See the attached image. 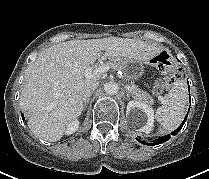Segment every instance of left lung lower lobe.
Returning <instances> with one entry per match:
<instances>
[{
  "mask_svg": "<svg viewBox=\"0 0 209 179\" xmlns=\"http://www.w3.org/2000/svg\"><path fill=\"white\" fill-rule=\"evenodd\" d=\"M186 119H187V116L185 117V119H184V121L182 122V124H181L175 131H173V132L171 133L173 136H175V135L181 130V128L183 127V125H184V123H185V121H186ZM136 139H137L140 143L145 144V145H158V144H162V143L168 141V140L170 139V134H168V135H166V136H164V137L158 138V139H157L155 142H153V143H146V142H144V141H141L139 138H136Z\"/></svg>",
  "mask_w": 209,
  "mask_h": 179,
  "instance_id": "left-lung-lower-lobe-1",
  "label": "left lung lower lobe"
}]
</instances>
